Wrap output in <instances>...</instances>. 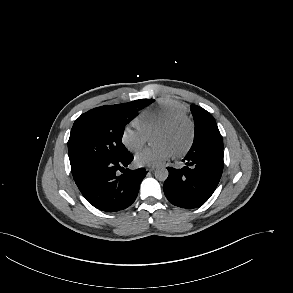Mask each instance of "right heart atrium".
<instances>
[{"instance_id":"1","label":"right heart atrium","mask_w":293,"mask_h":293,"mask_svg":"<svg viewBox=\"0 0 293 293\" xmlns=\"http://www.w3.org/2000/svg\"><path fill=\"white\" fill-rule=\"evenodd\" d=\"M122 144L131 152L139 151L146 142V134L136 125H127L121 134Z\"/></svg>"}]
</instances>
